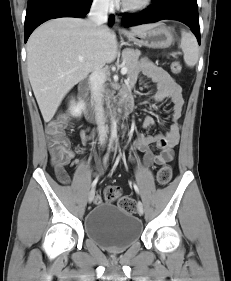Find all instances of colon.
<instances>
[{"label":"colon","mask_w":231,"mask_h":281,"mask_svg":"<svg viewBox=\"0 0 231 281\" xmlns=\"http://www.w3.org/2000/svg\"><path fill=\"white\" fill-rule=\"evenodd\" d=\"M172 73L178 75L181 72L179 62L171 64ZM67 117L62 115L51 121L46 129L51 162L54 167L64 166L70 162V147L66 137ZM172 178V168L163 165L157 172V181L161 185H166ZM104 200L109 203L117 202L119 207L128 213L136 211L135 201L128 197H122L121 189L116 186H109L104 191ZM101 198H96L95 203L99 204Z\"/></svg>","instance_id":"colon-1"}]
</instances>
